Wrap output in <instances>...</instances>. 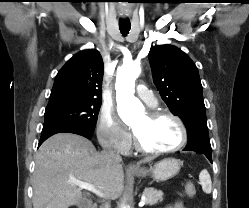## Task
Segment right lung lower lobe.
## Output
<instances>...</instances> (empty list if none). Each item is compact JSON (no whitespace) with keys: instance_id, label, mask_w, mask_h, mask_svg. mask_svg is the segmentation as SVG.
Returning a JSON list of instances; mask_svg holds the SVG:
<instances>
[{"instance_id":"98d812e1","label":"right lung lower lobe","mask_w":249,"mask_h":208,"mask_svg":"<svg viewBox=\"0 0 249 208\" xmlns=\"http://www.w3.org/2000/svg\"><path fill=\"white\" fill-rule=\"evenodd\" d=\"M61 132L79 134V135H82L88 139H91V135H92L91 132H88L84 129L74 127L71 125H65V124H59V123H45L43 125L41 138H40L38 147L50 136H52L56 133H61Z\"/></svg>"}]
</instances>
